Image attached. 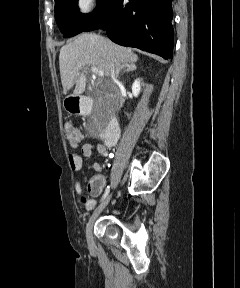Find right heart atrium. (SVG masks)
Masks as SVG:
<instances>
[{
  "mask_svg": "<svg viewBox=\"0 0 240 288\" xmlns=\"http://www.w3.org/2000/svg\"><path fill=\"white\" fill-rule=\"evenodd\" d=\"M98 0H77V9L82 14L90 13L96 8Z\"/></svg>",
  "mask_w": 240,
  "mask_h": 288,
  "instance_id": "1",
  "label": "right heart atrium"
}]
</instances>
